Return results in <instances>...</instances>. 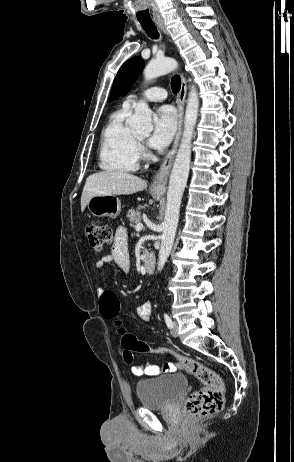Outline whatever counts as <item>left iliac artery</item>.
<instances>
[{"label": "left iliac artery", "mask_w": 294, "mask_h": 462, "mask_svg": "<svg viewBox=\"0 0 294 462\" xmlns=\"http://www.w3.org/2000/svg\"><path fill=\"white\" fill-rule=\"evenodd\" d=\"M164 319H165V323H166L167 327L172 328L173 327V322H172L171 318L169 317V315H167L165 313L164 314Z\"/></svg>", "instance_id": "obj_1"}]
</instances>
